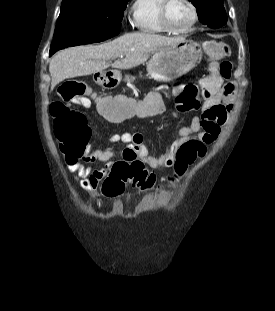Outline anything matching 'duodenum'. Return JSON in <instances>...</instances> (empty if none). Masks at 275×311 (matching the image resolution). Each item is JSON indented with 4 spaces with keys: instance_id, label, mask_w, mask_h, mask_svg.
Here are the masks:
<instances>
[{
    "instance_id": "1",
    "label": "duodenum",
    "mask_w": 275,
    "mask_h": 311,
    "mask_svg": "<svg viewBox=\"0 0 275 311\" xmlns=\"http://www.w3.org/2000/svg\"><path fill=\"white\" fill-rule=\"evenodd\" d=\"M96 74L93 75V80L96 82H99L102 80V75L104 74L103 70H96L95 72Z\"/></svg>"
}]
</instances>
